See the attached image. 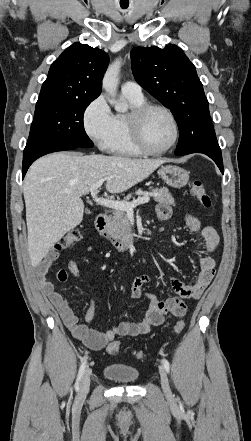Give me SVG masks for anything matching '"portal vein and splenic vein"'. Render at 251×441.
<instances>
[{
	"label": "portal vein and splenic vein",
	"mask_w": 251,
	"mask_h": 441,
	"mask_svg": "<svg viewBox=\"0 0 251 441\" xmlns=\"http://www.w3.org/2000/svg\"><path fill=\"white\" fill-rule=\"evenodd\" d=\"M104 179H101L97 181L95 184H93L90 187V192L92 195L93 200L101 206L112 208L115 210H123L126 212L133 211V208L140 204L148 203L150 200V197L148 195H145L143 197H139L138 199L132 201V202H126V201H116V200H110L106 198L98 197V189L103 185Z\"/></svg>",
	"instance_id": "1"
}]
</instances>
